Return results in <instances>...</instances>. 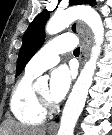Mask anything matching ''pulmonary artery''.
<instances>
[{
	"label": "pulmonary artery",
	"mask_w": 112,
	"mask_h": 135,
	"mask_svg": "<svg viewBox=\"0 0 112 135\" xmlns=\"http://www.w3.org/2000/svg\"><path fill=\"white\" fill-rule=\"evenodd\" d=\"M77 40L71 33L63 34L46 43L30 60L26 71L39 75L59 62V55L75 48Z\"/></svg>",
	"instance_id": "e3ab8cb5"
}]
</instances>
